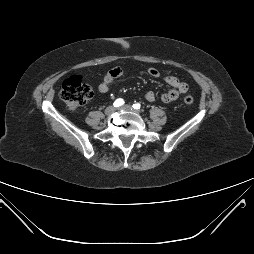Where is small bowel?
Instances as JSON below:
<instances>
[{
    "label": "small bowel",
    "instance_id": "1",
    "mask_svg": "<svg viewBox=\"0 0 254 254\" xmlns=\"http://www.w3.org/2000/svg\"><path fill=\"white\" fill-rule=\"evenodd\" d=\"M148 74L153 78H158L160 76V72L156 68L148 69ZM122 75L123 70L119 67L109 70L98 85L99 92L107 93L111 84ZM165 82L171 87L168 92L161 96V101L165 104H171L181 93H186L188 91V84L175 76H167ZM145 99L148 102H153L156 99V95L154 92L148 91L145 93Z\"/></svg>",
    "mask_w": 254,
    "mask_h": 254
}]
</instances>
